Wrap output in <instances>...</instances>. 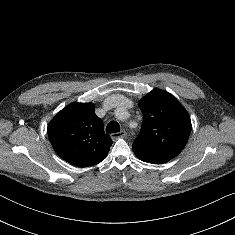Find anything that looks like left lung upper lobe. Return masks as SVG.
Listing matches in <instances>:
<instances>
[{"instance_id":"1","label":"left lung upper lobe","mask_w":235,"mask_h":235,"mask_svg":"<svg viewBox=\"0 0 235 235\" xmlns=\"http://www.w3.org/2000/svg\"><path fill=\"white\" fill-rule=\"evenodd\" d=\"M143 113L141 130L132 149L136 155L172 159L185 147L191 120L181 103L170 93L153 89L139 101Z\"/></svg>"}]
</instances>
